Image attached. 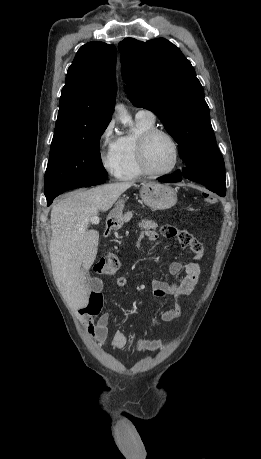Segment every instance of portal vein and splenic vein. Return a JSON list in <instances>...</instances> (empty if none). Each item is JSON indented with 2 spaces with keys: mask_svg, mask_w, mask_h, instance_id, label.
Returning <instances> with one entry per match:
<instances>
[{
  "mask_svg": "<svg viewBox=\"0 0 261 459\" xmlns=\"http://www.w3.org/2000/svg\"><path fill=\"white\" fill-rule=\"evenodd\" d=\"M89 221H90L92 224H96V225H97V224H99L100 219H99L98 216H92V217L90 218Z\"/></svg>",
  "mask_w": 261,
  "mask_h": 459,
  "instance_id": "portal-vein-and-splenic-vein-1",
  "label": "portal vein and splenic vein"
}]
</instances>
